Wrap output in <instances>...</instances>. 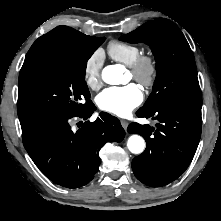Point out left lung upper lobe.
I'll return each instance as SVG.
<instances>
[{
	"mask_svg": "<svg viewBox=\"0 0 221 221\" xmlns=\"http://www.w3.org/2000/svg\"><path fill=\"white\" fill-rule=\"evenodd\" d=\"M120 40L146 43L155 55L157 75L152 93L142 108L159 102L202 107L193 53L173 22L164 18L149 21Z\"/></svg>",
	"mask_w": 221,
	"mask_h": 221,
	"instance_id": "1",
	"label": "left lung upper lobe"
}]
</instances>
